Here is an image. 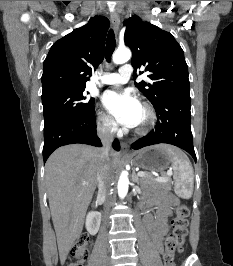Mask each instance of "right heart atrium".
<instances>
[{
  "mask_svg": "<svg viewBox=\"0 0 233 266\" xmlns=\"http://www.w3.org/2000/svg\"><path fill=\"white\" fill-rule=\"evenodd\" d=\"M97 126L98 129L105 134H112L117 131V124L113 118L103 111L98 112Z\"/></svg>",
  "mask_w": 233,
  "mask_h": 266,
  "instance_id": "d8ad5b80",
  "label": "right heart atrium"
}]
</instances>
